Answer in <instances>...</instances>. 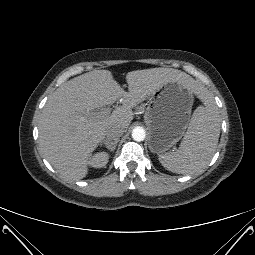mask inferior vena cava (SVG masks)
Listing matches in <instances>:
<instances>
[{
  "label": "inferior vena cava",
  "instance_id": "602c4592",
  "mask_svg": "<svg viewBox=\"0 0 255 255\" xmlns=\"http://www.w3.org/2000/svg\"><path fill=\"white\" fill-rule=\"evenodd\" d=\"M124 133V128L120 125H112L109 126L105 133L104 143L107 146H113L116 142L119 141V137H121Z\"/></svg>",
  "mask_w": 255,
  "mask_h": 255
}]
</instances>
